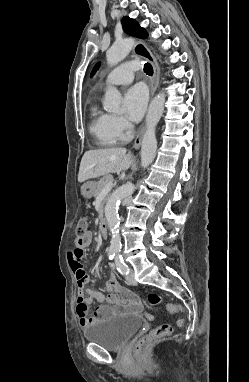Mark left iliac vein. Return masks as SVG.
<instances>
[{
	"instance_id": "1",
	"label": "left iliac vein",
	"mask_w": 249,
	"mask_h": 382,
	"mask_svg": "<svg viewBox=\"0 0 249 382\" xmlns=\"http://www.w3.org/2000/svg\"><path fill=\"white\" fill-rule=\"evenodd\" d=\"M125 278L128 283L136 284V280L134 278L133 271L131 269L129 270L128 274H126Z\"/></svg>"
}]
</instances>
